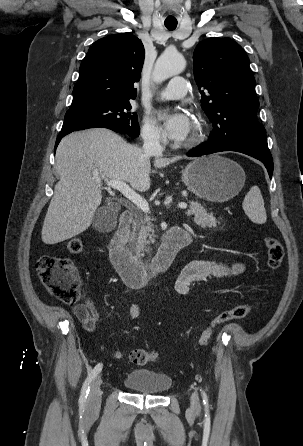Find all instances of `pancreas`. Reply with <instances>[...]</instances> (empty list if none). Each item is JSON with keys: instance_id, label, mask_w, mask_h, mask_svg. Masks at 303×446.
<instances>
[{"instance_id": "obj_1", "label": "pancreas", "mask_w": 303, "mask_h": 446, "mask_svg": "<svg viewBox=\"0 0 303 446\" xmlns=\"http://www.w3.org/2000/svg\"><path fill=\"white\" fill-rule=\"evenodd\" d=\"M40 9H45L42 6ZM190 209L188 215H193L194 222L202 228H217L220 224L213 214H209L207 210L197 201L189 202ZM154 224L148 217L138 214L135 218L131 231L126 235L129 243V251L143 256L144 252H149V244L154 243Z\"/></svg>"}]
</instances>
